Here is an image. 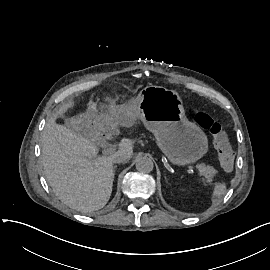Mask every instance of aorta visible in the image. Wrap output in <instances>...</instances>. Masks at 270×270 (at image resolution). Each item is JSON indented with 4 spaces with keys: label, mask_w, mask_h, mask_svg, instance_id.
Instances as JSON below:
<instances>
[{
    "label": "aorta",
    "mask_w": 270,
    "mask_h": 270,
    "mask_svg": "<svg viewBox=\"0 0 270 270\" xmlns=\"http://www.w3.org/2000/svg\"><path fill=\"white\" fill-rule=\"evenodd\" d=\"M154 164L148 156H139L136 159V169L140 173H150L153 171Z\"/></svg>",
    "instance_id": "1"
}]
</instances>
